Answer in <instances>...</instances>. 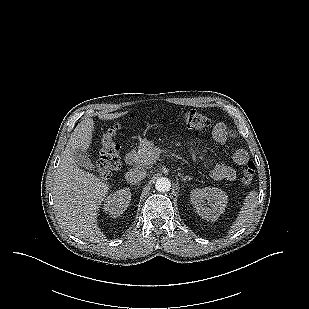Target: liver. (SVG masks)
<instances>
[{
	"instance_id": "liver-1",
	"label": "liver",
	"mask_w": 309,
	"mask_h": 309,
	"mask_svg": "<svg viewBox=\"0 0 309 309\" xmlns=\"http://www.w3.org/2000/svg\"><path fill=\"white\" fill-rule=\"evenodd\" d=\"M127 112L105 114L104 120H113ZM94 121H81L72 132L61 155L53 183V200L61 224L76 237L92 243H102L105 235L97 225V215L110 186L104 180L80 169L75 162V149L90 147Z\"/></svg>"
}]
</instances>
